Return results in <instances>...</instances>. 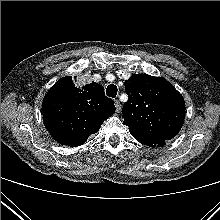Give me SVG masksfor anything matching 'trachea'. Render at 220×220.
<instances>
[{
  "label": "trachea",
  "instance_id": "3493384b",
  "mask_svg": "<svg viewBox=\"0 0 220 220\" xmlns=\"http://www.w3.org/2000/svg\"><path fill=\"white\" fill-rule=\"evenodd\" d=\"M118 89L117 86L114 84H110L108 85L107 89H106V94L109 97L115 98L117 95Z\"/></svg>",
  "mask_w": 220,
  "mask_h": 220
}]
</instances>
